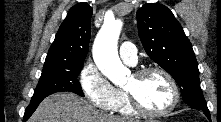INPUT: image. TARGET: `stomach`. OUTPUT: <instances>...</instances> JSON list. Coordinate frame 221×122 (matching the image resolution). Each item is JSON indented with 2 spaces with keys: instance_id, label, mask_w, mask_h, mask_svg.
<instances>
[{
  "instance_id": "1",
  "label": "stomach",
  "mask_w": 221,
  "mask_h": 122,
  "mask_svg": "<svg viewBox=\"0 0 221 122\" xmlns=\"http://www.w3.org/2000/svg\"><path fill=\"white\" fill-rule=\"evenodd\" d=\"M146 122H159V121H156V120H149V121H146Z\"/></svg>"
}]
</instances>
